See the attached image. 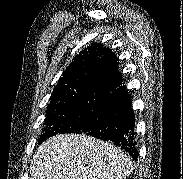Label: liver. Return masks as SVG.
Segmentation results:
<instances>
[{"label": "liver", "instance_id": "1", "mask_svg": "<svg viewBox=\"0 0 183 179\" xmlns=\"http://www.w3.org/2000/svg\"><path fill=\"white\" fill-rule=\"evenodd\" d=\"M130 158L111 143L78 134L57 135L36 150L30 179H124Z\"/></svg>", "mask_w": 183, "mask_h": 179}]
</instances>
